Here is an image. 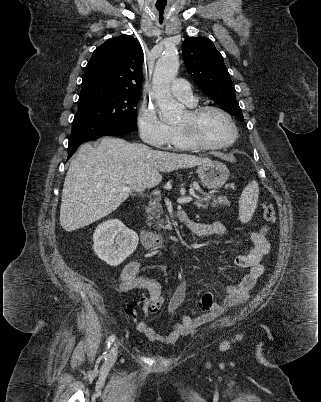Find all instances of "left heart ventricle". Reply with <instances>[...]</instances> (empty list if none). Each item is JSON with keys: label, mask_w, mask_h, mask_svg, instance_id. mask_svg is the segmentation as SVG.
<instances>
[{"label": "left heart ventricle", "mask_w": 321, "mask_h": 402, "mask_svg": "<svg viewBox=\"0 0 321 402\" xmlns=\"http://www.w3.org/2000/svg\"><path fill=\"white\" fill-rule=\"evenodd\" d=\"M190 121L186 111L178 120L177 125H184ZM198 136L207 143L221 144L230 140L233 130L227 119L216 111H207L195 121Z\"/></svg>", "instance_id": "left-heart-ventricle-1"}]
</instances>
